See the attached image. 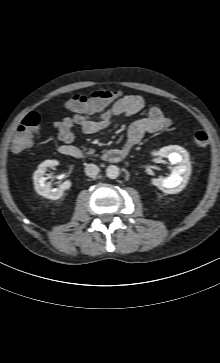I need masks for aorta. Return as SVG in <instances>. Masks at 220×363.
Returning a JSON list of instances; mask_svg holds the SVG:
<instances>
[{"label": "aorta", "mask_w": 220, "mask_h": 363, "mask_svg": "<svg viewBox=\"0 0 220 363\" xmlns=\"http://www.w3.org/2000/svg\"><path fill=\"white\" fill-rule=\"evenodd\" d=\"M119 168L116 165H110L106 169V175L110 179H115L119 176Z\"/></svg>", "instance_id": "obj_1"}]
</instances>
